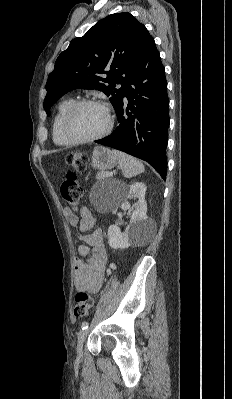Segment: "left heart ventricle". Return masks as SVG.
I'll return each mask as SVG.
<instances>
[{
  "label": "left heart ventricle",
  "mask_w": 232,
  "mask_h": 399,
  "mask_svg": "<svg viewBox=\"0 0 232 399\" xmlns=\"http://www.w3.org/2000/svg\"><path fill=\"white\" fill-rule=\"evenodd\" d=\"M106 109L100 105L79 107L70 119L71 132L79 138H89L102 133L108 126Z\"/></svg>",
  "instance_id": "1"
}]
</instances>
